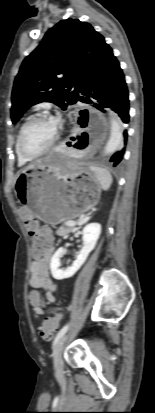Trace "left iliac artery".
Masks as SVG:
<instances>
[{"label": "left iliac artery", "mask_w": 155, "mask_h": 413, "mask_svg": "<svg viewBox=\"0 0 155 413\" xmlns=\"http://www.w3.org/2000/svg\"><path fill=\"white\" fill-rule=\"evenodd\" d=\"M69 328V324H66L65 326L62 327V329L57 333L54 341H53V346L58 342V340L67 332Z\"/></svg>", "instance_id": "left-iliac-artery-1"}]
</instances>
